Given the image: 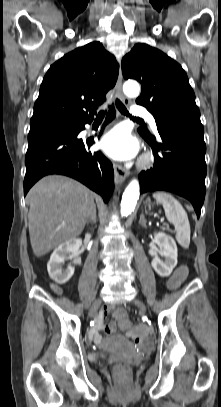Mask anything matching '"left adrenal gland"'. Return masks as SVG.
I'll use <instances>...</instances> for the list:
<instances>
[{
  "label": "left adrenal gland",
  "mask_w": 221,
  "mask_h": 407,
  "mask_svg": "<svg viewBox=\"0 0 221 407\" xmlns=\"http://www.w3.org/2000/svg\"><path fill=\"white\" fill-rule=\"evenodd\" d=\"M139 224L142 225V226H144V227H147L144 214H141V215H140Z\"/></svg>",
  "instance_id": "left-adrenal-gland-1"
}]
</instances>
